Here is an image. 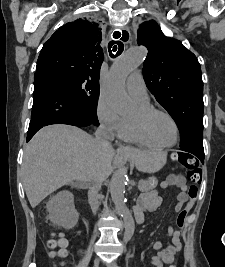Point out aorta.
Instances as JSON below:
<instances>
[{"instance_id":"obj_1","label":"aorta","mask_w":225,"mask_h":267,"mask_svg":"<svg viewBox=\"0 0 225 267\" xmlns=\"http://www.w3.org/2000/svg\"><path fill=\"white\" fill-rule=\"evenodd\" d=\"M146 55L147 50L145 47H131L114 61L110 69L103 93L106 100L120 113L127 111L131 107V100L125 90L126 78L143 63ZM125 185V170H117L111 179L110 193L116 210L123 218L125 225L124 238L128 240L134 233V224L131 213L125 203Z\"/></svg>"}]
</instances>
